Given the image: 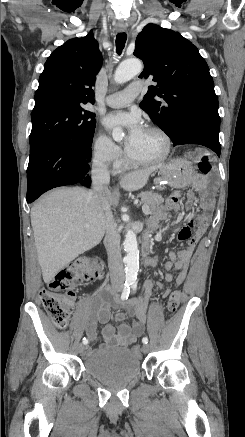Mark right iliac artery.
Segmentation results:
<instances>
[{"instance_id": "right-iliac-artery-1", "label": "right iliac artery", "mask_w": 245, "mask_h": 437, "mask_svg": "<svg viewBox=\"0 0 245 437\" xmlns=\"http://www.w3.org/2000/svg\"><path fill=\"white\" fill-rule=\"evenodd\" d=\"M130 285L131 284H129V283H125L123 292L121 294V300H127L128 299V296H129V293H130ZM82 342H83V344H87L88 340L86 338H83Z\"/></svg>"}]
</instances>
